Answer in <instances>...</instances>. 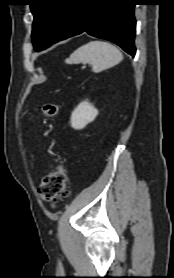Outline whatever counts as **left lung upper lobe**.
<instances>
[{
  "label": "left lung upper lobe",
  "instance_id": "1",
  "mask_svg": "<svg viewBox=\"0 0 174 278\" xmlns=\"http://www.w3.org/2000/svg\"><path fill=\"white\" fill-rule=\"evenodd\" d=\"M76 2L77 0H32V37L38 38L33 42L36 51H41L56 42L75 10Z\"/></svg>",
  "mask_w": 174,
  "mask_h": 278
}]
</instances>
